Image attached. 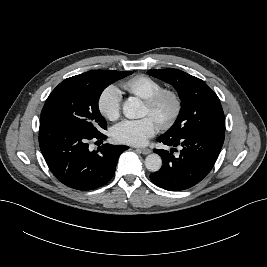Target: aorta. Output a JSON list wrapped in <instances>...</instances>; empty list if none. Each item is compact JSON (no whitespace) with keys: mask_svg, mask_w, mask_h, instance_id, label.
Wrapping results in <instances>:
<instances>
[{"mask_svg":"<svg viewBox=\"0 0 267 267\" xmlns=\"http://www.w3.org/2000/svg\"><path fill=\"white\" fill-rule=\"evenodd\" d=\"M123 114L128 119L141 118L144 116V105L136 97H131L123 104ZM145 166L151 172H157L162 166V159L158 154H149L145 159Z\"/></svg>","mask_w":267,"mask_h":267,"instance_id":"1","label":"aorta"}]
</instances>
